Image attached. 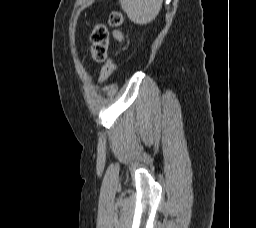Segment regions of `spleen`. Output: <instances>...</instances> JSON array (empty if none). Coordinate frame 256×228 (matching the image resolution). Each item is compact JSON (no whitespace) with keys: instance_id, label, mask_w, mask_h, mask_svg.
Masks as SVG:
<instances>
[{"instance_id":"obj_1","label":"spleen","mask_w":256,"mask_h":228,"mask_svg":"<svg viewBox=\"0 0 256 228\" xmlns=\"http://www.w3.org/2000/svg\"><path fill=\"white\" fill-rule=\"evenodd\" d=\"M119 2L133 23L145 25L157 17L163 0H119Z\"/></svg>"}]
</instances>
